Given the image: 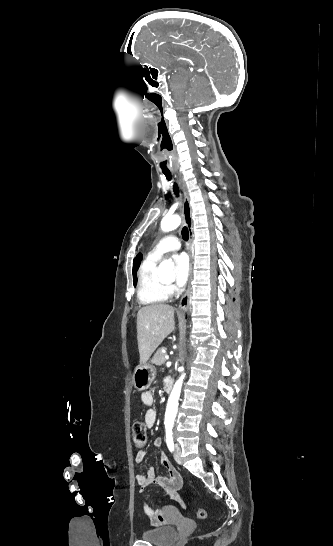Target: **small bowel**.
Masks as SVG:
<instances>
[{
    "instance_id": "c3829d8e",
    "label": "small bowel",
    "mask_w": 333,
    "mask_h": 546,
    "mask_svg": "<svg viewBox=\"0 0 333 546\" xmlns=\"http://www.w3.org/2000/svg\"><path fill=\"white\" fill-rule=\"evenodd\" d=\"M141 400L143 404L148 407V410L145 413V424L149 428L153 427L156 423L157 418L156 411L152 407L155 402L154 395L151 392H144L141 395ZM154 446L155 448H161V438H156L154 440ZM145 458L146 452L144 450L138 451L135 455V461L137 463H143ZM160 464L162 467L168 469L169 476H158L156 475L155 469L153 467L148 468L146 473L138 474L136 476V480L141 488V491L145 490L149 486L155 485L167 492L176 503L182 505L183 500L178 496V490L182 487L183 484L181 474L172 466L169 458L163 452L160 453ZM143 510L147 514L153 525H162L166 523L167 515L171 511V508L164 507L162 510H153L148 506L145 501H143Z\"/></svg>"
}]
</instances>
